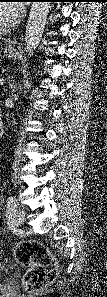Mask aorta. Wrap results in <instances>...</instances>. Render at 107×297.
<instances>
[{"label":"aorta","mask_w":107,"mask_h":297,"mask_svg":"<svg viewBox=\"0 0 107 297\" xmlns=\"http://www.w3.org/2000/svg\"><path fill=\"white\" fill-rule=\"evenodd\" d=\"M49 8V2H33L31 5L24 38L25 51L28 57L33 55L41 41Z\"/></svg>","instance_id":"aorta-1"}]
</instances>
